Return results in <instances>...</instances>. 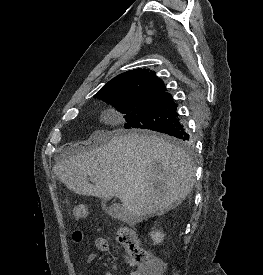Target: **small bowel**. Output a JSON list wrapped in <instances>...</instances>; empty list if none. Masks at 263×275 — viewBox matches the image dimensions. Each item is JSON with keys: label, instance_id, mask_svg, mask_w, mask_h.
I'll return each mask as SVG.
<instances>
[{"label": "small bowel", "instance_id": "1", "mask_svg": "<svg viewBox=\"0 0 263 275\" xmlns=\"http://www.w3.org/2000/svg\"><path fill=\"white\" fill-rule=\"evenodd\" d=\"M85 239V234L83 231L81 230H76L73 232L72 236H71V240L73 243H80ZM94 245L95 247L102 252H107L109 250V243L108 241L103 238V237H97L94 240ZM94 261V257L90 256L88 258V270H91L94 266L93 264ZM128 263L130 264V266L133 267V270L131 271L130 275H142L140 270H138L131 262L130 260L128 261ZM104 275H112L110 272H105Z\"/></svg>", "mask_w": 263, "mask_h": 275}]
</instances>
